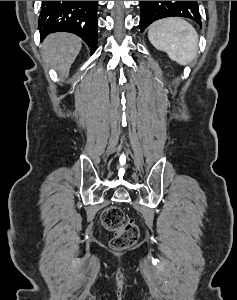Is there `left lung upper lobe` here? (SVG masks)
Instances as JSON below:
<instances>
[{"label": "left lung upper lobe", "mask_w": 237, "mask_h": 300, "mask_svg": "<svg viewBox=\"0 0 237 300\" xmlns=\"http://www.w3.org/2000/svg\"><path fill=\"white\" fill-rule=\"evenodd\" d=\"M171 16L190 18L201 25L200 13L198 15L193 8L179 6L176 1H141V32L155 20Z\"/></svg>", "instance_id": "obj_1"}]
</instances>
